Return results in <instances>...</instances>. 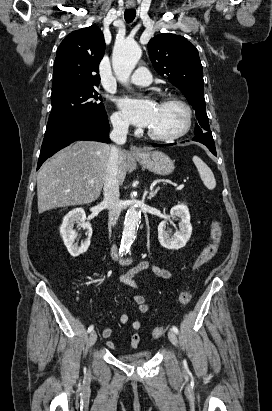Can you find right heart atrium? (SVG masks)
<instances>
[{"instance_id": "obj_1", "label": "right heart atrium", "mask_w": 272, "mask_h": 411, "mask_svg": "<svg viewBox=\"0 0 272 411\" xmlns=\"http://www.w3.org/2000/svg\"><path fill=\"white\" fill-rule=\"evenodd\" d=\"M111 121L118 129H125L127 127L126 119L120 112H115L111 117Z\"/></svg>"}]
</instances>
